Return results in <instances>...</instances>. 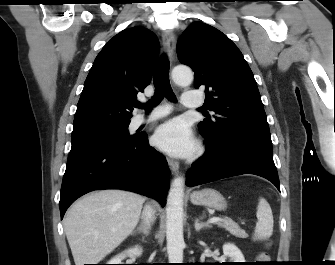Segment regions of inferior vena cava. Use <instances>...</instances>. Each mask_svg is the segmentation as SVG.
<instances>
[{"label": "inferior vena cava", "instance_id": "inferior-vena-cava-1", "mask_svg": "<svg viewBox=\"0 0 335 265\" xmlns=\"http://www.w3.org/2000/svg\"><path fill=\"white\" fill-rule=\"evenodd\" d=\"M143 215L145 217L146 222L150 224L151 221L154 219V211L151 207L146 206L143 211Z\"/></svg>", "mask_w": 335, "mask_h": 265}]
</instances>
